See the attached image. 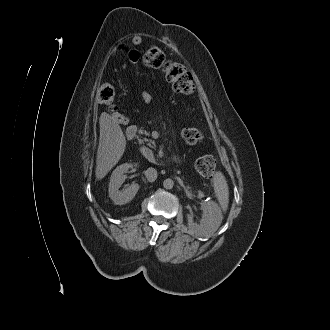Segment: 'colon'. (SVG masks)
Returning <instances> with one entry per match:
<instances>
[{"label": "colon", "mask_w": 330, "mask_h": 330, "mask_svg": "<svg viewBox=\"0 0 330 330\" xmlns=\"http://www.w3.org/2000/svg\"><path fill=\"white\" fill-rule=\"evenodd\" d=\"M133 56L135 52H131ZM143 65L149 69H160L165 79L171 83L173 92L180 95H191L194 92V78L188 69L181 63L167 60L164 52L152 46L148 48L142 57ZM99 100L105 104H111L115 97L114 87L103 84L98 91ZM113 118L122 123L125 120L123 113L111 110ZM182 138L188 144H197L203 140V134L195 128H186L182 131ZM216 162L211 156H203L196 161V169L203 176L213 174Z\"/></svg>", "instance_id": "1"}]
</instances>
